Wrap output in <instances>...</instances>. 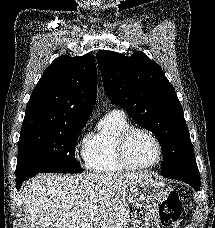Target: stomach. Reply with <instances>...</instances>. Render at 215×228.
I'll list each match as a JSON object with an SVG mask.
<instances>
[{"mask_svg":"<svg viewBox=\"0 0 215 228\" xmlns=\"http://www.w3.org/2000/svg\"><path fill=\"white\" fill-rule=\"evenodd\" d=\"M130 194L143 204L144 228H160L159 206L169 196L168 186L149 176L134 184Z\"/></svg>","mask_w":215,"mask_h":228,"instance_id":"1","label":"stomach"}]
</instances>
